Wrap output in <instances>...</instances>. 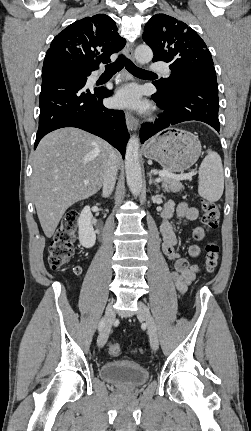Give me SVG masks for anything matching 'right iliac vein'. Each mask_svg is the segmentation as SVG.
<instances>
[{"instance_id": "1", "label": "right iliac vein", "mask_w": 251, "mask_h": 431, "mask_svg": "<svg viewBox=\"0 0 251 431\" xmlns=\"http://www.w3.org/2000/svg\"><path fill=\"white\" fill-rule=\"evenodd\" d=\"M114 319H115V313H114L113 305L112 303H109L105 311V323L97 340L99 347H103L104 344L106 343Z\"/></svg>"}]
</instances>
